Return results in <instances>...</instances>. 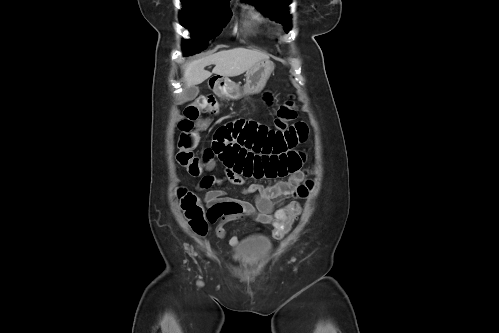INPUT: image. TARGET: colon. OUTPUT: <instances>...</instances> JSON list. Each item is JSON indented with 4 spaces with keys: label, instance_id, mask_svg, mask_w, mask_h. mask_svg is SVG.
Segmentation results:
<instances>
[{
    "label": "colon",
    "instance_id": "1",
    "mask_svg": "<svg viewBox=\"0 0 499 333\" xmlns=\"http://www.w3.org/2000/svg\"><path fill=\"white\" fill-rule=\"evenodd\" d=\"M206 101L201 100L196 105L188 107L185 118L180 121L181 131L179 150L176 155L177 162L185 167L192 176H198L204 167L201 158L197 157L194 149L198 144V135L194 130V122L198 119L200 110L206 106ZM297 116V107L292 100L282 103L276 110L274 126L276 129H286L290 122ZM181 208L187 218L191 229L198 235H205L209 229L210 219L199 197L187 190L179 191ZM301 213L298 202L292 201L278 209L275 214L273 236L282 238L291 228L294 221Z\"/></svg>",
    "mask_w": 499,
    "mask_h": 333
}]
</instances>
